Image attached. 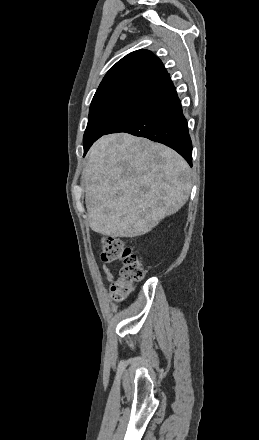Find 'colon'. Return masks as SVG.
I'll return each mask as SVG.
<instances>
[{"instance_id":"colon-1","label":"colon","mask_w":259,"mask_h":440,"mask_svg":"<svg viewBox=\"0 0 259 440\" xmlns=\"http://www.w3.org/2000/svg\"><path fill=\"white\" fill-rule=\"evenodd\" d=\"M100 256L106 263H120L118 277L111 284V294L116 301H121L130 294L134 283L143 279V264L130 247L114 237L102 239Z\"/></svg>"}]
</instances>
